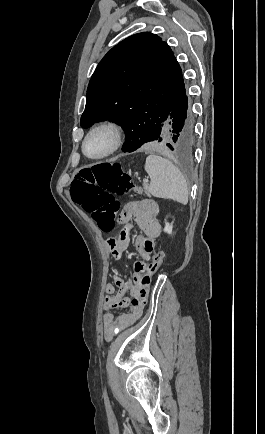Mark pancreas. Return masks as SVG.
I'll return each mask as SVG.
<instances>
[{
  "label": "pancreas",
  "instance_id": "obj_1",
  "mask_svg": "<svg viewBox=\"0 0 265 434\" xmlns=\"http://www.w3.org/2000/svg\"><path fill=\"white\" fill-rule=\"evenodd\" d=\"M143 190H144L146 196H148V198H151V194L149 192V186H148V184H146V182H144V184H143Z\"/></svg>",
  "mask_w": 265,
  "mask_h": 434
}]
</instances>
